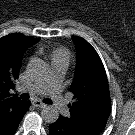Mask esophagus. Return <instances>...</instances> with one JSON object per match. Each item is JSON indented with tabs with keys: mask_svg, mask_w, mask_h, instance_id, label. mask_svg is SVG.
<instances>
[{
	"mask_svg": "<svg viewBox=\"0 0 135 135\" xmlns=\"http://www.w3.org/2000/svg\"><path fill=\"white\" fill-rule=\"evenodd\" d=\"M32 104H33V106H35V107H40V108H44L46 105L43 103V102H41L40 100H34L33 102H32Z\"/></svg>",
	"mask_w": 135,
	"mask_h": 135,
	"instance_id": "esophagus-1",
	"label": "esophagus"
}]
</instances>
